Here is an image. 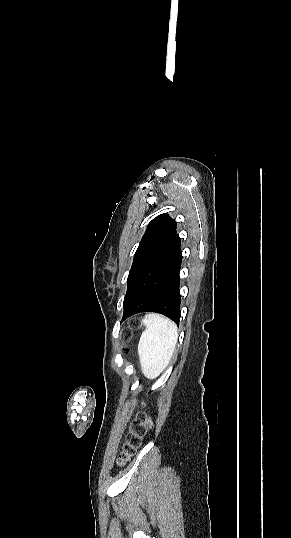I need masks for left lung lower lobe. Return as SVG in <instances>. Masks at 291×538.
I'll list each match as a JSON object with an SVG mask.
<instances>
[{"label": "left lung lower lobe", "mask_w": 291, "mask_h": 538, "mask_svg": "<svg viewBox=\"0 0 291 538\" xmlns=\"http://www.w3.org/2000/svg\"><path fill=\"white\" fill-rule=\"evenodd\" d=\"M181 239L173 242L140 276L123 304L122 320L139 312H157L179 324Z\"/></svg>", "instance_id": "1"}]
</instances>
